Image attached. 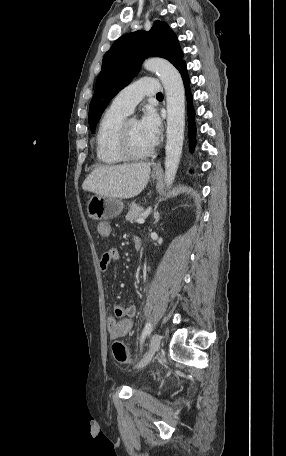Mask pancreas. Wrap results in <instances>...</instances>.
Segmentation results:
<instances>
[{"mask_svg": "<svg viewBox=\"0 0 286 456\" xmlns=\"http://www.w3.org/2000/svg\"><path fill=\"white\" fill-rule=\"evenodd\" d=\"M144 214V208L137 205L132 204L129 208V211L126 215V220L130 223L136 222L138 218L142 217Z\"/></svg>", "mask_w": 286, "mask_h": 456, "instance_id": "pancreas-1", "label": "pancreas"}]
</instances>
